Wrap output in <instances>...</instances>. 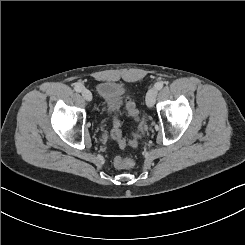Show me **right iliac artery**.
I'll return each instance as SVG.
<instances>
[{
    "mask_svg": "<svg viewBox=\"0 0 245 245\" xmlns=\"http://www.w3.org/2000/svg\"><path fill=\"white\" fill-rule=\"evenodd\" d=\"M74 89L76 92H81L83 90V86L81 84H76Z\"/></svg>",
    "mask_w": 245,
    "mask_h": 245,
    "instance_id": "obj_1",
    "label": "right iliac artery"
}]
</instances>
